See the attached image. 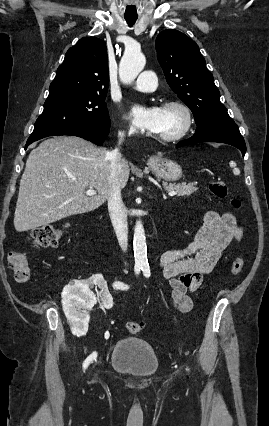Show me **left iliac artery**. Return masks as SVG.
Here are the masks:
<instances>
[{"label":"left iliac artery","mask_w":269,"mask_h":426,"mask_svg":"<svg viewBox=\"0 0 269 426\" xmlns=\"http://www.w3.org/2000/svg\"><path fill=\"white\" fill-rule=\"evenodd\" d=\"M142 271H143V273H144V275H145L146 277H149V276H150V269H149V267H144V268H142ZM187 370H189V369H187Z\"/></svg>","instance_id":"1"}]
</instances>
